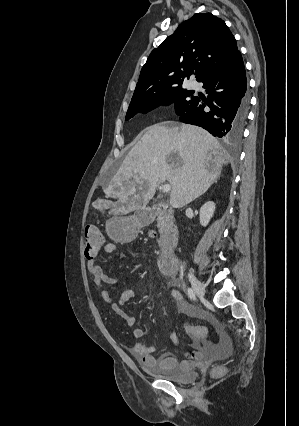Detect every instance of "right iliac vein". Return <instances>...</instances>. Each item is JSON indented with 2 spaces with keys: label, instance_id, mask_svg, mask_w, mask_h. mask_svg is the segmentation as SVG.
I'll return each mask as SVG.
<instances>
[{
  "label": "right iliac vein",
  "instance_id": "obj_1",
  "mask_svg": "<svg viewBox=\"0 0 299 426\" xmlns=\"http://www.w3.org/2000/svg\"><path fill=\"white\" fill-rule=\"evenodd\" d=\"M189 280L192 284L193 290L196 293V295L202 299L205 295V286L204 284L196 278V276L193 273H189Z\"/></svg>",
  "mask_w": 299,
  "mask_h": 426
}]
</instances>
